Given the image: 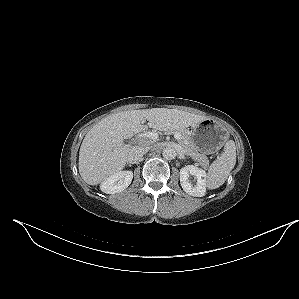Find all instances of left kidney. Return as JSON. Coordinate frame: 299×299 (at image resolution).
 <instances>
[{"mask_svg": "<svg viewBox=\"0 0 299 299\" xmlns=\"http://www.w3.org/2000/svg\"><path fill=\"white\" fill-rule=\"evenodd\" d=\"M190 175L197 179L196 185L191 184ZM180 183L183 190L189 195L202 197L206 193V172L194 165H187L180 169Z\"/></svg>", "mask_w": 299, "mask_h": 299, "instance_id": "left-kidney-1", "label": "left kidney"}]
</instances>
